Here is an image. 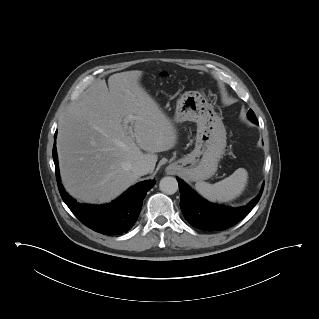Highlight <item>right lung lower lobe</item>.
<instances>
[{
	"instance_id": "right-lung-lower-lobe-1",
	"label": "right lung lower lobe",
	"mask_w": 319,
	"mask_h": 319,
	"mask_svg": "<svg viewBox=\"0 0 319 319\" xmlns=\"http://www.w3.org/2000/svg\"><path fill=\"white\" fill-rule=\"evenodd\" d=\"M54 138H56V133ZM58 188L63 201L72 213L87 227L105 235H121L136 222L146 193L155 180L140 182L128 189L120 198L106 205H81L71 198L60 183L56 146L53 147Z\"/></svg>"
}]
</instances>
